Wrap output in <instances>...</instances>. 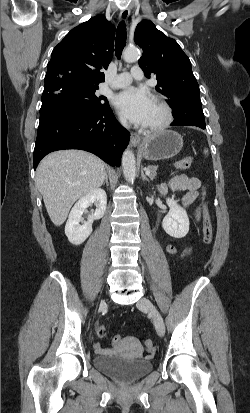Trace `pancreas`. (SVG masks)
Returning <instances> with one entry per match:
<instances>
[{"label":"pancreas","instance_id":"pancreas-1","mask_svg":"<svg viewBox=\"0 0 250 413\" xmlns=\"http://www.w3.org/2000/svg\"><path fill=\"white\" fill-rule=\"evenodd\" d=\"M147 170L150 171L149 177L151 179H154L157 175V166H148Z\"/></svg>","mask_w":250,"mask_h":413}]
</instances>
